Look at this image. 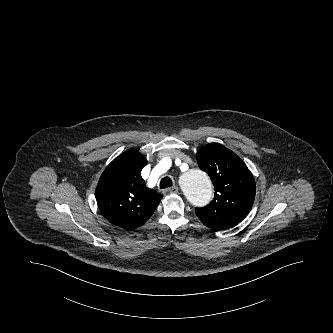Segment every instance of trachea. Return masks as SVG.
Returning a JSON list of instances; mask_svg holds the SVG:
<instances>
[{
	"label": "trachea",
	"instance_id": "3493384b",
	"mask_svg": "<svg viewBox=\"0 0 333 333\" xmlns=\"http://www.w3.org/2000/svg\"><path fill=\"white\" fill-rule=\"evenodd\" d=\"M172 180L169 177H164L160 181V188L165 189L172 186Z\"/></svg>",
	"mask_w": 333,
	"mask_h": 333
}]
</instances>
